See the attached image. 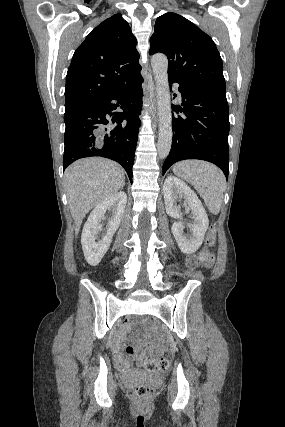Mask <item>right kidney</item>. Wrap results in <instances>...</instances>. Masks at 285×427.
I'll list each match as a JSON object with an SVG mask.
<instances>
[{
  "label": "right kidney",
  "mask_w": 285,
  "mask_h": 427,
  "mask_svg": "<svg viewBox=\"0 0 285 427\" xmlns=\"http://www.w3.org/2000/svg\"><path fill=\"white\" fill-rule=\"evenodd\" d=\"M127 203L125 192H118L98 204L90 213L81 235V244L87 262L96 266L99 264L110 247L112 237L119 228L121 218ZM106 211L112 212L108 220L106 234L98 240L97 233L101 230V221L105 219Z\"/></svg>",
  "instance_id": "ca27d5eb"
}]
</instances>
